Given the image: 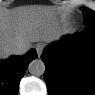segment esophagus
<instances>
[{
	"mask_svg": "<svg viewBox=\"0 0 95 95\" xmlns=\"http://www.w3.org/2000/svg\"><path fill=\"white\" fill-rule=\"evenodd\" d=\"M35 49L37 51L38 57H40L43 50H44V45L43 44H37Z\"/></svg>",
	"mask_w": 95,
	"mask_h": 95,
	"instance_id": "esophagus-1",
	"label": "esophagus"
}]
</instances>
